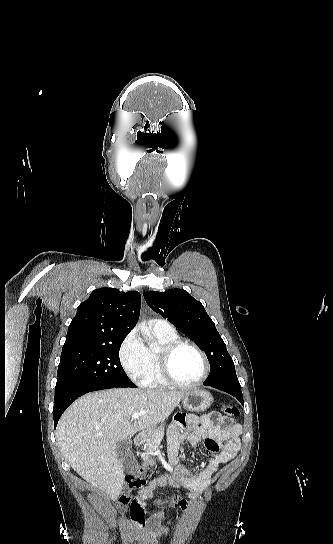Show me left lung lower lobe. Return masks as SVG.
<instances>
[{
  "label": "left lung lower lobe",
  "instance_id": "1",
  "mask_svg": "<svg viewBox=\"0 0 333 544\" xmlns=\"http://www.w3.org/2000/svg\"><path fill=\"white\" fill-rule=\"evenodd\" d=\"M207 386H211L231 394L232 396L236 397L242 405H244L240 385L238 386L233 384H216V385H207Z\"/></svg>",
  "mask_w": 333,
  "mask_h": 544
}]
</instances>
